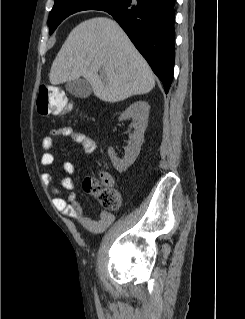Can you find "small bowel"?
Listing matches in <instances>:
<instances>
[{
	"mask_svg": "<svg viewBox=\"0 0 245 319\" xmlns=\"http://www.w3.org/2000/svg\"><path fill=\"white\" fill-rule=\"evenodd\" d=\"M58 136L69 137L73 141L80 143L82 145L83 152L87 155L92 154L96 149V141L93 137L83 132L75 131L70 126L52 129L43 137L41 143L43 150L41 156L42 166L49 167L54 163L55 156L52 149L54 138ZM63 171L64 175L60 178L61 188H58L55 185L54 178L50 173H44L42 175L44 184L54 195L53 201L55 207L65 216L78 221L87 231L91 233H100L104 231L114 221V215L103 211L97 220L86 216L84 210L78 203L76 194L74 192L75 184L71 176L76 172L75 165L70 161H65L63 163ZM102 181L107 187L112 188L114 185L112 177L107 173L102 175Z\"/></svg>",
	"mask_w": 245,
	"mask_h": 319,
	"instance_id": "1",
	"label": "small bowel"
}]
</instances>
